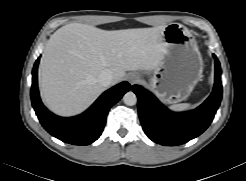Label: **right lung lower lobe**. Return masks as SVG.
Wrapping results in <instances>:
<instances>
[{"mask_svg": "<svg viewBox=\"0 0 246 181\" xmlns=\"http://www.w3.org/2000/svg\"><path fill=\"white\" fill-rule=\"evenodd\" d=\"M40 58L34 64L31 101L42 126L54 137L73 145H88L101 135L109 109L130 90L128 82H122L104 92L83 114L61 118L51 113L41 102L38 92L37 69Z\"/></svg>", "mask_w": 246, "mask_h": 181, "instance_id": "right-lung-lower-lobe-1", "label": "right lung lower lobe"}]
</instances>
